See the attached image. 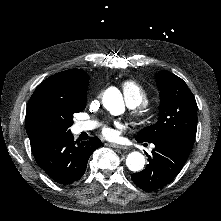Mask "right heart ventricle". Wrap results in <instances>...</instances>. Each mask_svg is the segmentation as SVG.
Here are the masks:
<instances>
[{
    "instance_id": "1",
    "label": "right heart ventricle",
    "mask_w": 221,
    "mask_h": 221,
    "mask_svg": "<svg viewBox=\"0 0 221 221\" xmlns=\"http://www.w3.org/2000/svg\"><path fill=\"white\" fill-rule=\"evenodd\" d=\"M150 99L149 94L146 91H142L141 101L146 103Z\"/></svg>"
}]
</instances>
